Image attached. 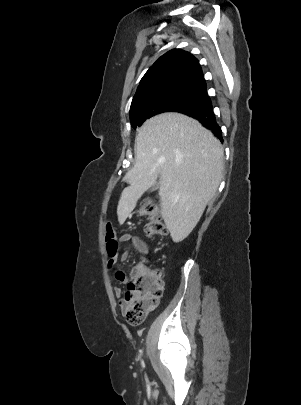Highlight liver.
Wrapping results in <instances>:
<instances>
[{"instance_id":"obj_1","label":"liver","mask_w":301,"mask_h":405,"mask_svg":"<svg viewBox=\"0 0 301 405\" xmlns=\"http://www.w3.org/2000/svg\"><path fill=\"white\" fill-rule=\"evenodd\" d=\"M136 163L117 207L123 224L139 198L156 184L162 218L174 242L184 240L199 222L222 179L223 149L197 120L179 113L150 118L138 130Z\"/></svg>"}]
</instances>
